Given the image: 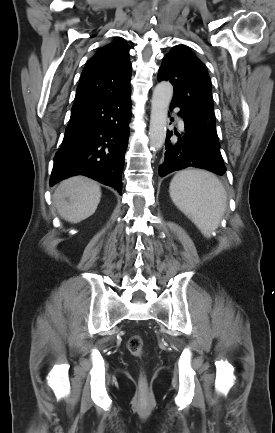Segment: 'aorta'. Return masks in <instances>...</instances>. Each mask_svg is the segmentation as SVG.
I'll use <instances>...</instances> for the list:
<instances>
[{
    "label": "aorta",
    "instance_id": "762f6f07",
    "mask_svg": "<svg viewBox=\"0 0 275 433\" xmlns=\"http://www.w3.org/2000/svg\"><path fill=\"white\" fill-rule=\"evenodd\" d=\"M173 87L169 81L158 83L151 100V115L149 127L150 146L159 150L165 143L166 126Z\"/></svg>",
    "mask_w": 275,
    "mask_h": 433
}]
</instances>
